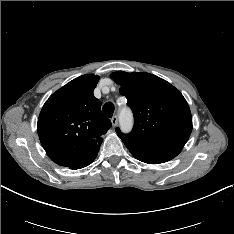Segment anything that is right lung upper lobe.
<instances>
[{
    "mask_svg": "<svg viewBox=\"0 0 234 234\" xmlns=\"http://www.w3.org/2000/svg\"><path fill=\"white\" fill-rule=\"evenodd\" d=\"M99 76H80L53 93L37 123L40 142L52 161L71 169L93 160L111 122L93 91Z\"/></svg>",
    "mask_w": 234,
    "mask_h": 234,
    "instance_id": "1",
    "label": "right lung upper lobe"
}]
</instances>
